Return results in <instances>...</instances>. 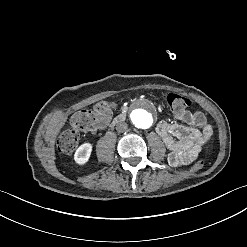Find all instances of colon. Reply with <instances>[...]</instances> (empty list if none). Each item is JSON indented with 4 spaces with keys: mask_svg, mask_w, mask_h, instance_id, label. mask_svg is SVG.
I'll return each instance as SVG.
<instances>
[{
    "mask_svg": "<svg viewBox=\"0 0 247 247\" xmlns=\"http://www.w3.org/2000/svg\"><path fill=\"white\" fill-rule=\"evenodd\" d=\"M167 102L173 106L176 111L187 109L190 106V101L180 95L173 93L167 94ZM111 111V104L108 101H99L97 105L92 107L89 111L81 110L76 112L71 122L74 125L63 132L57 138V150L59 153L69 154L75 149L79 140L80 128H91L97 124L106 123L108 120L107 114ZM204 167L202 160L195 161L192 165V170L199 171Z\"/></svg>",
    "mask_w": 247,
    "mask_h": 247,
    "instance_id": "colon-1",
    "label": "colon"
}]
</instances>
